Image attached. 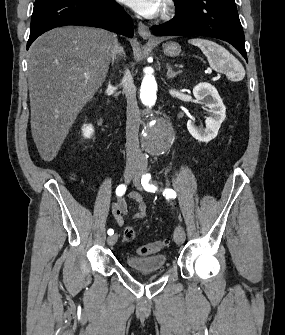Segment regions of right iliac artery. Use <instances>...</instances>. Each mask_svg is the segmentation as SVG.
<instances>
[{
  "label": "right iliac artery",
  "mask_w": 285,
  "mask_h": 335,
  "mask_svg": "<svg viewBox=\"0 0 285 335\" xmlns=\"http://www.w3.org/2000/svg\"><path fill=\"white\" fill-rule=\"evenodd\" d=\"M125 191H126V186L123 185V184H121V185H119V186L117 187V189H116V194H117V196H122V195H124ZM107 233H108V235H113L114 230H113V229H109V230L107 231Z\"/></svg>",
  "instance_id": "1"
}]
</instances>
